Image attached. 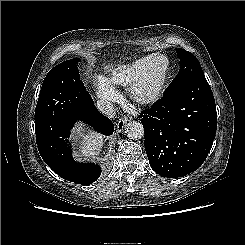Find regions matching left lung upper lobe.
<instances>
[{"label":"left lung upper lobe","mask_w":245,"mask_h":245,"mask_svg":"<svg viewBox=\"0 0 245 245\" xmlns=\"http://www.w3.org/2000/svg\"><path fill=\"white\" fill-rule=\"evenodd\" d=\"M180 59V70L166 91H171L192 81L205 78L198 59L190 52L176 49Z\"/></svg>","instance_id":"left-lung-upper-lobe-1"}]
</instances>
